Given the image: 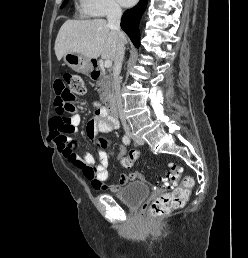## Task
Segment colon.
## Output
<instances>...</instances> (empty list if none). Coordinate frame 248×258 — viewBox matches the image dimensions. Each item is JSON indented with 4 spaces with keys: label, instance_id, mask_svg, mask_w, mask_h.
Returning <instances> with one entry per match:
<instances>
[{
    "label": "colon",
    "instance_id": "5ec220e1",
    "mask_svg": "<svg viewBox=\"0 0 248 258\" xmlns=\"http://www.w3.org/2000/svg\"><path fill=\"white\" fill-rule=\"evenodd\" d=\"M68 85V95H63V98L55 105L56 114L52 118V125L63 133H68L73 130L71 125L70 114L74 108L70 101L76 95H83L86 91L83 79L78 75H70L66 78ZM118 144L117 142L115 143ZM126 146H119V159L125 170H130L134 161L140 156L137 151H132L126 154ZM180 167L175 163H169L165 176L161 179L159 187L161 189H170L177 185L180 179ZM85 177L94 176L92 169L84 171ZM193 187V179L184 177L179 187L175 188L171 193H162L156 197L149 205V213L151 216H162L169 213L173 209L182 207L190 196Z\"/></svg>",
    "mask_w": 248,
    "mask_h": 258
}]
</instances>
